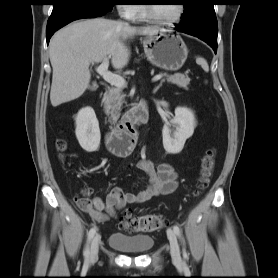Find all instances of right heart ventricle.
I'll use <instances>...</instances> for the list:
<instances>
[{
	"mask_svg": "<svg viewBox=\"0 0 278 278\" xmlns=\"http://www.w3.org/2000/svg\"><path fill=\"white\" fill-rule=\"evenodd\" d=\"M133 19L137 21H145L147 19L146 14H145V9L144 6H138L137 11Z\"/></svg>",
	"mask_w": 278,
	"mask_h": 278,
	"instance_id": "1",
	"label": "right heart ventricle"
}]
</instances>
